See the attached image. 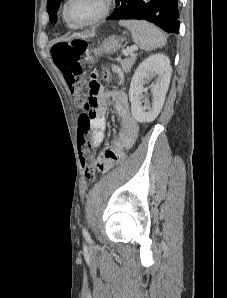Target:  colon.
Listing matches in <instances>:
<instances>
[{
  "label": "colon",
  "mask_w": 227,
  "mask_h": 298,
  "mask_svg": "<svg viewBox=\"0 0 227 298\" xmlns=\"http://www.w3.org/2000/svg\"><path fill=\"white\" fill-rule=\"evenodd\" d=\"M87 47L88 45L85 41L66 40L54 44L51 53L54 62L63 72L70 91L75 96L77 107L81 110L77 146L81 154V163L85 168V176L88 180H92L95 161L93 158L90 124L92 122L91 118L95 117V115H89V110H93L91 109V104L95 103H89L90 92H88V82H91L90 73L86 80H83L81 77V59ZM101 75L108 82L112 79L106 68L101 69Z\"/></svg>",
  "instance_id": "colon-1"
}]
</instances>
